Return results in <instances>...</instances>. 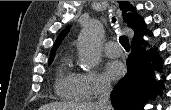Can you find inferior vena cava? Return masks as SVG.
<instances>
[{"instance_id": "602c4592", "label": "inferior vena cava", "mask_w": 171, "mask_h": 110, "mask_svg": "<svg viewBox=\"0 0 171 110\" xmlns=\"http://www.w3.org/2000/svg\"><path fill=\"white\" fill-rule=\"evenodd\" d=\"M111 92V86L109 83H101L99 86V98H98V109L99 110H110L109 96Z\"/></svg>"}]
</instances>
